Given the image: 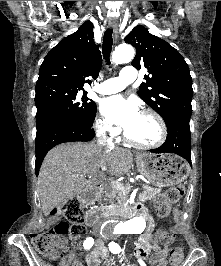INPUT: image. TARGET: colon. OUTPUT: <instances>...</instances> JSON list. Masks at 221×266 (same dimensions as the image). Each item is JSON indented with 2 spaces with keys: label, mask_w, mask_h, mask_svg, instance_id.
I'll return each mask as SVG.
<instances>
[{
  "label": "colon",
  "mask_w": 221,
  "mask_h": 266,
  "mask_svg": "<svg viewBox=\"0 0 221 266\" xmlns=\"http://www.w3.org/2000/svg\"><path fill=\"white\" fill-rule=\"evenodd\" d=\"M185 187L183 185L174 186L155 199V208L159 217L166 218L170 214L171 205L178 202L184 195ZM54 215L61 216L67 222L59 223L54 229L44 232H34L31 241L35 249L42 255L55 258L61 248L63 236L78 238L85 233L82 225L83 207L77 199H70L56 208ZM172 235L166 231L159 230L156 232V240L164 245L172 242ZM183 258V250L176 246L170 249V261L177 265Z\"/></svg>",
  "instance_id": "5ec220e1"
}]
</instances>
